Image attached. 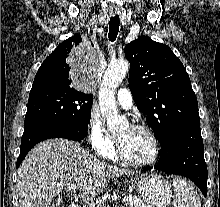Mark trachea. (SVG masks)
Instances as JSON below:
<instances>
[{
	"mask_svg": "<svg viewBox=\"0 0 220 207\" xmlns=\"http://www.w3.org/2000/svg\"><path fill=\"white\" fill-rule=\"evenodd\" d=\"M120 20L118 16L111 17L109 21L108 37L111 42L115 41L119 32Z\"/></svg>",
	"mask_w": 220,
	"mask_h": 207,
	"instance_id": "1",
	"label": "trachea"
}]
</instances>
